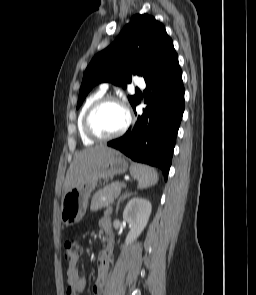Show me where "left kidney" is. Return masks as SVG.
<instances>
[{"mask_svg":"<svg viewBox=\"0 0 256 295\" xmlns=\"http://www.w3.org/2000/svg\"><path fill=\"white\" fill-rule=\"evenodd\" d=\"M151 210V203L144 198L135 197L127 203L123 211V219L130 225V231L125 240V247L140 236L148 223Z\"/></svg>","mask_w":256,"mask_h":295,"instance_id":"5707ae66","label":"left kidney"}]
</instances>
